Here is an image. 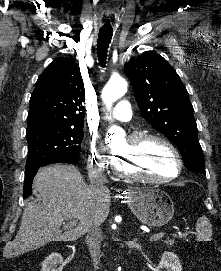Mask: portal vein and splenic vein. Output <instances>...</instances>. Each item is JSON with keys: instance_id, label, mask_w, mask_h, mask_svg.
Returning a JSON list of instances; mask_svg holds the SVG:
<instances>
[{"instance_id": "18ae733b", "label": "portal vein and splenic vein", "mask_w": 221, "mask_h": 271, "mask_svg": "<svg viewBox=\"0 0 221 271\" xmlns=\"http://www.w3.org/2000/svg\"><path fill=\"white\" fill-rule=\"evenodd\" d=\"M69 227H73V225H77V221L76 219H71V221H69L68 223ZM163 235L164 233H158V235H150L148 238L150 240H163Z\"/></svg>"}]
</instances>
